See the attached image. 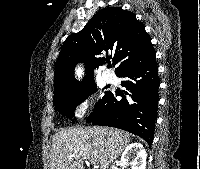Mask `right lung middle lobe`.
<instances>
[{"instance_id": "1", "label": "right lung middle lobe", "mask_w": 200, "mask_h": 169, "mask_svg": "<svg viewBox=\"0 0 200 169\" xmlns=\"http://www.w3.org/2000/svg\"><path fill=\"white\" fill-rule=\"evenodd\" d=\"M96 90L97 88L94 80H90L72 93L53 98V104L58 112L62 113L66 117L71 118L74 116L76 106L87 99L88 96ZM106 93L107 92H105V95ZM105 95L96 104L94 110L100 105Z\"/></svg>"}]
</instances>
